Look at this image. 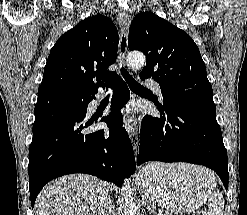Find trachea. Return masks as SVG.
<instances>
[{"mask_svg": "<svg viewBox=\"0 0 247 215\" xmlns=\"http://www.w3.org/2000/svg\"><path fill=\"white\" fill-rule=\"evenodd\" d=\"M121 74L132 91H149L145 87L141 86L138 82H136L135 79L128 73V71L124 67L121 68Z\"/></svg>", "mask_w": 247, "mask_h": 215, "instance_id": "obj_1", "label": "trachea"}]
</instances>
